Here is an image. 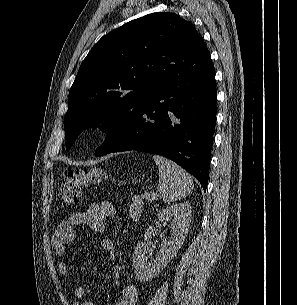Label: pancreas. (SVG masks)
I'll return each mask as SVG.
<instances>
[{
    "mask_svg": "<svg viewBox=\"0 0 297 305\" xmlns=\"http://www.w3.org/2000/svg\"><path fill=\"white\" fill-rule=\"evenodd\" d=\"M143 198L140 196H134L132 198V204L129 209V216L132 220L137 221L142 213Z\"/></svg>",
    "mask_w": 297,
    "mask_h": 305,
    "instance_id": "obj_1",
    "label": "pancreas"
}]
</instances>
